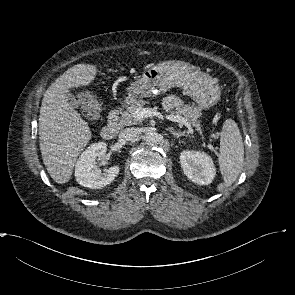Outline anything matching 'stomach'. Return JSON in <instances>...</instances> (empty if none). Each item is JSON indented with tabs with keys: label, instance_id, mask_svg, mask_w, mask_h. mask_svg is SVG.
Segmentation results:
<instances>
[{
	"label": "stomach",
	"instance_id": "0dacf381",
	"mask_svg": "<svg viewBox=\"0 0 295 295\" xmlns=\"http://www.w3.org/2000/svg\"><path fill=\"white\" fill-rule=\"evenodd\" d=\"M172 87H180L197 103L198 110L214 106L221 96L216 79L196 66L172 60L146 69L142 77L129 86L126 102L157 96Z\"/></svg>",
	"mask_w": 295,
	"mask_h": 295
}]
</instances>
